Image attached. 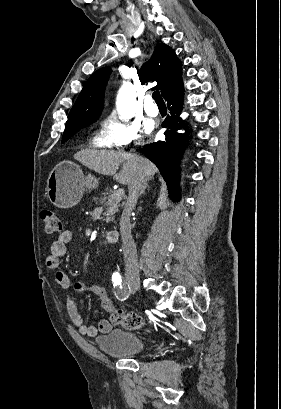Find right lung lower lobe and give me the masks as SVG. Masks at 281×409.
<instances>
[{
  "label": "right lung lower lobe",
  "instance_id": "obj_1",
  "mask_svg": "<svg viewBox=\"0 0 281 409\" xmlns=\"http://www.w3.org/2000/svg\"><path fill=\"white\" fill-rule=\"evenodd\" d=\"M184 97V87L181 82L165 100L167 101L170 114L162 123V128H166L164 141L144 146V154L153 161L159 168L164 180L167 183L169 196L176 201L179 198V160L182 156L187 134H180L176 131L183 127V121L179 118L182 110ZM185 126H187L185 124Z\"/></svg>",
  "mask_w": 281,
  "mask_h": 409
}]
</instances>
